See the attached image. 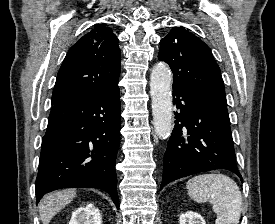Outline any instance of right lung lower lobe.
Returning a JSON list of instances; mask_svg holds the SVG:
<instances>
[{"mask_svg": "<svg viewBox=\"0 0 275 224\" xmlns=\"http://www.w3.org/2000/svg\"><path fill=\"white\" fill-rule=\"evenodd\" d=\"M119 87L53 105L36 179L37 202L61 188H99L119 208L115 161L120 145Z\"/></svg>", "mask_w": 275, "mask_h": 224, "instance_id": "obj_1", "label": "right lung lower lobe"}]
</instances>
